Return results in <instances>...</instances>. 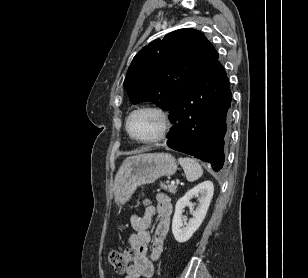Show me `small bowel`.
<instances>
[{"instance_id": "1", "label": "small bowel", "mask_w": 308, "mask_h": 278, "mask_svg": "<svg viewBox=\"0 0 308 278\" xmlns=\"http://www.w3.org/2000/svg\"><path fill=\"white\" fill-rule=\"evenodd\" d=\"M172 204L170 198L163 193L156 196L155 205L146 207L143 215L133 214L130 224L134 230L128 242L135 252L133 262L125 271V278H151L154 273V262L157 261L163 251V243L168 234ZM157 217V225L154 235H151L150 227L153 217ZM150 252H148V247Z\"/></svg>"}]
</instances>
